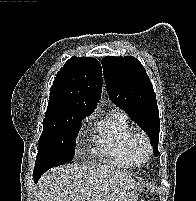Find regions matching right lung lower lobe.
<instances>
[{"mask_svg":"<svg viewBox=\"0 0 196 201\" xmlns=\"http://www.w3.org/2000/svg\"><path fill=\"white\" fill-rule=\"evenodd\" d=\"M40 176H41L40 174L37 175L33 174L34 181L37 182Z\"/></svg>","mask_w":196,"mask_h":201,"instance_id":"obj_1","label":"right lung lower lobe"}]
</instances>
